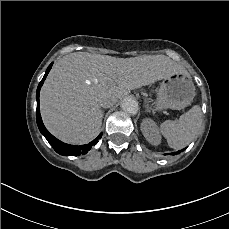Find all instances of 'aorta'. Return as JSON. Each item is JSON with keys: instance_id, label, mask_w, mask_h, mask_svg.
Here are the masks:
<instances>
[{"instance_id": "762f6f07", "label": "aorta", "mask_w": 229, "mask_h": 229, "mask_svg": "<svg viewBox=\"0 0 229 229\" xmlns=\"http://www.w3.org/2000/svg\"><path fill=\"white\" fill-rule=\"evenodd\" d=\"M121 108L126 113L136 115L139 110V105L135 99L128 97L122 100Z\"/></svg>"}]
</instances>
